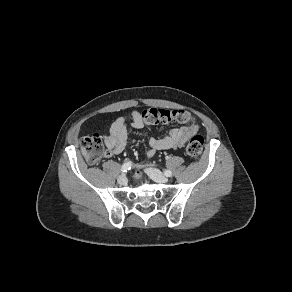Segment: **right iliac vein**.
<instances>
[{
  "label": "right iliac vein",
  "mask_w": 292,
  "mask_h": 292,
  "mask_svg": "<svg viewBox=\"0 0 292 292\" xmlns=\"http://www.w3.org/2000/svg\"><path fill=\"white\" fill-rule=\"evenodd\" d=\"M117 182L120 185H125L127 183V177H126V175L119 176L118 179H117Z\"/></svg>",
  "instance_id": "63e3f726"
}]
</instances>
